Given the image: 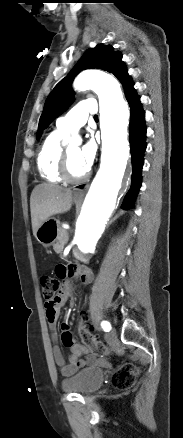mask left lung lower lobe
Listing matches in <instances>:
<instances>
[{"mask_svg":"<svg viewBox=\"0 0 183 438\" xmlns=\"http://www.w3.org/2000/svg\"><path fill=\"white\" fill-rule=\"evenodd\" d=\"M134 83L130 80L125 86L126 99L129 102L131 116L129 124V139L131 146V158H132V183L131 188L126 194L122 209H129L132 202L136 198L138 190L141 186V171L143 166V156L146 149V126L144 116L145 113L142 109L140 98L133 88ZM82 187V186H80Z\"/></svg>","mask_w":183,"mask_h":438,"instance_id":"0a47b994","label":"left lung lower lobe"}]
</instances>
